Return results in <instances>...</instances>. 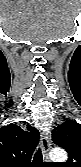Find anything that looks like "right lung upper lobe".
Listing matches in <instances>:
<instances>
[{"label":"right lung upper lobe","mask_w":81,"mask_h":167,"mask_svg":"<svg viewBox=\"0 0 81 167\" xmlns=\"http://www.w3.org/2000/svg\"><path fill=\"white\" fill-rule=\"evenodd\" d=\"M39 142V132L27 125L9 124L0 128V167H32L31 157Z\"/></svg>","instance_id":"1"}]
</instances>
